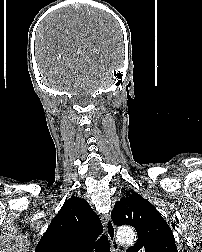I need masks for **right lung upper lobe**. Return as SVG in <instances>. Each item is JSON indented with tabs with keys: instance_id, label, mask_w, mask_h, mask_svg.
Wrapping results in <instances>:
<instances>
[{
	"instance_id": "cb5924a9",
	"label": "right lung upper lobe",
	"mask_w": 202,
	"mask_h": 252,
	"mask_svg": "<svg viewBox=\"0 0 202 252\" xmlns=\"http://www.w3.org/2000/svg\"><path fill=\"white\" fill-rule=\"evenodd\" d=\"M102 228L86 200L72 196L51 221L35 252H91Z\"/></svg>"
}]
</instances>
